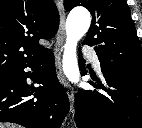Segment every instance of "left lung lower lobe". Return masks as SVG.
I'll use <instances>...</instances> for the list:
<instances>
[{"label":"left lung lower lobe","instance_id":"left-lung-lower-lobe-1","mask_svg":"<svg viewBox=\"0 0 142 128\" xmlns=\"http://www.w3.org/2000/svg\"><path fill=\"white\" fill-rule=\"evenodd\" d=\"M82 75H86L83 58L79 61ZM101 83L89 81L98 90H82L75 104L78 128H142V77L128 73L107 72Z\"/></svg>","mask_w":142,"mask_h":128}]
</instances>
